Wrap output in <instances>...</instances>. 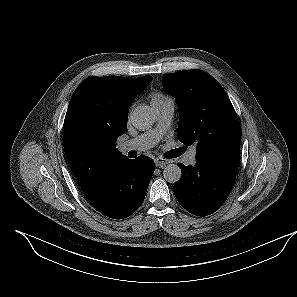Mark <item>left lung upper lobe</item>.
<instances>
[{
  "mask_svg": "<svg viewBox=\"0 0 297 297\" xmlns=\"http://www.w3.org/2000/svg\"><path fill=\"white\" fill-rule=\"evenodd\" d=\"M163 88L178 105V138L184 145H196L197 159L240 144L237 114L223 87L210 74L198 69L167 74Z\"/></svg>",
  "mask_w": 297,
  "mask_h": 297,
  "instance_id": "1",
  "label": "left lung upper lobe"
}]
</instances>
